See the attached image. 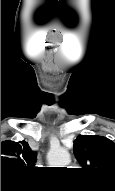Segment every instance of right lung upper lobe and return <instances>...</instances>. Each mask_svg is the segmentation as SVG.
<instances>
[{
  "instance_id": "1",
  "label": "right lung upper lobe",
  "mask_w": 115,
  "mask_h": 191,
  "mask_svg": "<svg viewBox=\"0 0 115 191\" xmlns=\"http://www.w3.org/2000/svg\"><path fill=\"white\" fill-rule=\"evenodd\" d=\"M36 162V153L25 141L1 142V182L7 183L19 180Z\"/></svg>"
}]
</instances>
